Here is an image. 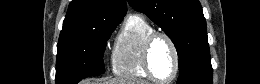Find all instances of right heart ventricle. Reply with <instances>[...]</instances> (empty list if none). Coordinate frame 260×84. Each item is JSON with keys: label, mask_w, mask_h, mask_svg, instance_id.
I'll use <instances>...</instances> for the list:
<instances>
[{"label": "right heart ventricle", "mask_w": 260, "mask_h": 84, "mask_svg": "<svg viewBox=\"0 0 260 84\" xmlns=\"http://www.w3.org/2000/svg\"><path fill=\"white\" fill-rule=\"evenodd\" d=\"M154 31L140 14H132L125 20L111 53V68L115 75L131 79H148L143 67V44Z\"/></svg>", "instance_id": "1"}]
</instances>
